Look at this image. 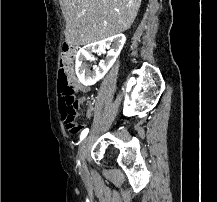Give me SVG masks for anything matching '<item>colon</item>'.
<instances>
[{"mask_svg": "<svg viewBox=\"0 0 217 202\" xmlns=\"http://www.w3.org/2000/svg\"><path fill=\"white\" fill-rule=\"evenodd\" d=\"M76 47H63V55L61 56V67L58 68V91L57 101L62 102L61 111L59 117H66L63 120V125L72 133L80 132L82 124L78 121V105L76 104L74 97L75 91H78V86H74V55Z\"/></svg>", "mask_w": 217, "mask_h": 202, "instance_id": "colon-1", "label": "colon"}]
</instances>
